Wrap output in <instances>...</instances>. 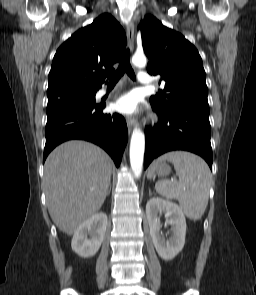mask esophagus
Segmentation results:
<instances>
[{
	"mask_svg": "<svg viewBox=\"0 0 256 295\" xmlns=\"http://www.w3.org/2000/svg\"><path fill=\"white\" fill-rule=\"evenodd\" d=\"M126 34H127V42H128L129 49H130V51H133V49H134V23H133V21H130L127 24ZM126 122H127L128 131L131 132L134 125H135V119L128 118Z\"/></svg>",
	"mask_w": 256,
	"mask_h": 295,
	"instance_id": "obj_1",
	"label": "esophagus"
}]
</instances>
